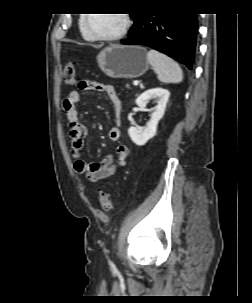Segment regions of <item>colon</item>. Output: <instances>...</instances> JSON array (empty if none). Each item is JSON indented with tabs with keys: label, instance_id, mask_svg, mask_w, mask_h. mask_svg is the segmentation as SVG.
<instances>
[{
	"label": "colon",
	"instance_id": "colon-1",
	"mask_svg": "<svg viewBox=\"0 0 252 303\" xmlns=\"http://www.w3.org/2000/svg\"><path fill=\"white\" fill-rule=\"evenodd\" d=\"M63 81L67 86H72L75 83V66L73 63L68 62L63 70ZM99 204L105 211L113 208L114 200L112 196L106 192H101L98 196Z\"/></svg>",
	"mask_w": 252,
	"mask_h": 303
}]
</instances>
